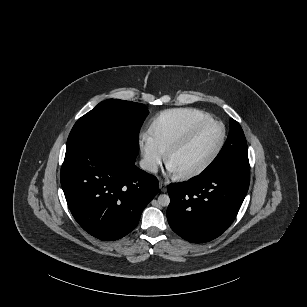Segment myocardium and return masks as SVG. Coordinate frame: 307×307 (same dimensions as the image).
<instances>
[{
	"instance_id": "myocardium-1",
	"label": "myocardium",
	"mask_w": 307,
	"mask_h": 307,
	"mask_svg": "<svg viewBox=\"0 0 307 307\" xmlns=\"http://www.w3.org/2000/svg\"><path fill=\"white\" fill-rule=\"evenodd\" d=\"M215 123H221L224 127V136H223V139L220 142L219 146L214 151V153L206 161H204L202 164L198 165L197 167H195L193 169L182 172L180 174H175L178 179H188V178L194 177L196 175H199V174L203 173L204 171H206L208 168H210L215 163V161L218 159V157L222 153V151H223V149H224V147L227 143V140H228L227 125L222 120H215V119L210 120V121L204 123L203 125L197 127L190 134H188L183 140L176 143L174 146H172L167 151V153H166V164L169 167L171 159L176 154H178L179 152H181L182 150H184L185 148L190 146L200 136V134L202 132H204L207 128H209L211 125H213Z\"/></svg>"
}]
</instances>
